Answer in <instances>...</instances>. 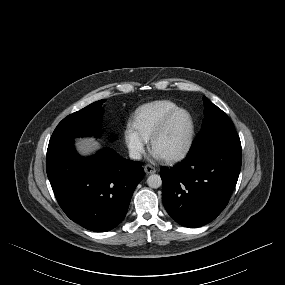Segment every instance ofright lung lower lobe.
<instances>
[{
  "label": "right lung lower lobe",
  "instance_id": "98d812e1",
  "mask_svg": "<svg viewBox=\"0 0 285 285\" xmlns=\"http://www.w3.org/2000/svg\"><path fill=\"white\" fill-rule=\"evenodd\" d=\"M73 138L50 141L46 170L55 197L74 222L105 232L125 217L134 189L144 177L140 162L124 159L113 149L80 157Z\"/></svg>",
  "mask_w": 285,
  "mask_h": 285
}]
</instances>
